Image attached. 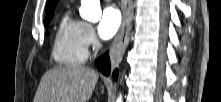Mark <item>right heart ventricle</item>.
Listing matches in <instances>:
<instances>
[{
  "label": "right heart ventricle",
  "instance_id": "obj_1",
  "mask_svg": "<svg viewBox=\"0 0 221 102\" xmlns=\"http://www.w3.org/2000/svg\"><path fill=\"white\" fill-rule=\"evenodd\" d=\"M84 23L73 18L69 11L60 18L54 33L52 56L64 66H79L85 63L88 48L83 38Z\"/></svg>",
  "mask_w": 221,
  "mask_h": 102
}]
</instances>
